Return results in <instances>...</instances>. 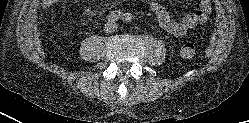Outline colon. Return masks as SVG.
<instances>
[{"instance_id": "1", "label": "colon", "mask_w": 249, "mask_h": 123, "mask_svg": "<svg viewBox=\"0 0 249 123\" xmlns=\"http://www.w3.org/2000/svg\"><path fill=\"white\" fill-rule=\"evenodd\" d=\"M196 47L195 44L191 41L183 43L180 49V54L183 58H192L195 55Z\"/></svg>"}]
</instances>
